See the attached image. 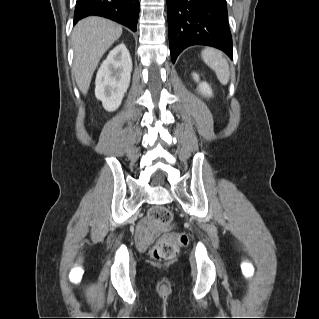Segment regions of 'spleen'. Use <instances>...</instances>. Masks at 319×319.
<instances>
[{
    "mask_svg": "<svg viewBox=\"0 0 319 319\" xmlns=\"http://www.w3.org/2000/svg\"><path fill=\"white\" fill-rule=\"evenodd\" d=\"M201 56L203 61L215 71L218 80L226 85L229 81L230 69L223 54L218 50L206 48L202 51Z\"/></svg>",
    "mask_w": 319,
    "mask_h": 319,
    "instance_id": "3e777b00",
    "label": "spleen"
}]
</instances>
